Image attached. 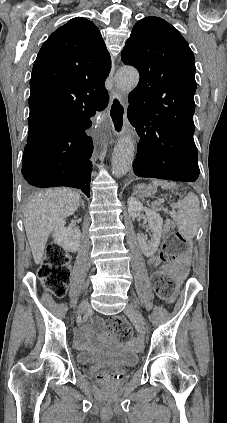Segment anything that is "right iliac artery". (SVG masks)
<instances>
[{
    "mask_svg": "<svg viewBox=\"0 0 227 423\" xmlns=\"http://www.w3.org/2000/svg\"><path fill=\"white\" fill-rule=\"evenodd\" d=\"M87 320H89V315H84V318H82V323H87Z\"/></svg>",
    "mask_w": 227,
    "mask_h": 423,
    "instance_id": "82829eb1",
    "label": "right iliac artery"
}]
</instances>
